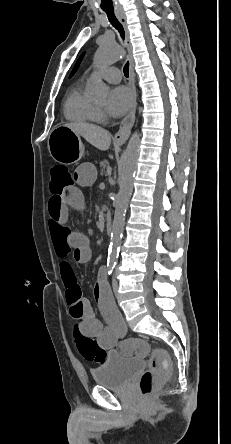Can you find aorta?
Wrapping results in <instances>:
<instances>
[{"mask_svg": "<svg viewBox=\"0 0 231 444\" xmlns=\"http://www.w3.org/2000/svg\"><path fill=\"white\" fill-rule=\"evenodd\" d=\"M123 55L119 45L114 41L103 42L97 49L94 56V63L97 67H106L114 64ZM90 93L94 99L104 100L108 95L107 86L100 80L91 82ZM140 137L135 132L127 145L122 168L119 175V192L115 201V214L111 231V241L108 252V265H114L118 256V249L121 243L125 215L128 203L133 191L134 176L137 168L139 155Z\"/></svg>", "mask_w": 231, "mask_h": 444, "instance_id": "aorta-1", "label": "aorta"}]
</instances>
